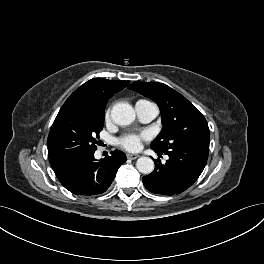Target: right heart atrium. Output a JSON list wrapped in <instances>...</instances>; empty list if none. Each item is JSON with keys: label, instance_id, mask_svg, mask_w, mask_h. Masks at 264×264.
<instances>
[{"label": "right heart atrium", "instance_id": "d8ad5b80", "mask_svg": "<svg viewBox=\"0 0 264 264\" xmlns=\"http://www.w3.org/2000/svg\"><path fill=\"white\" fill-rule=\"evenodd\" d=\"M110 117H111V108L109 107L106 111H105V114H104V119L106 122H108L110 120Z\"/></svg>", "mask_w": 264, "mask_h": 264}]
</instances>
